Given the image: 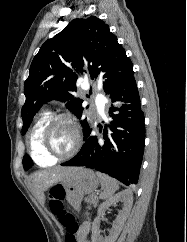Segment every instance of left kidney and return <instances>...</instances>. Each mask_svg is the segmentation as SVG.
Masks as SVG:
<instances>
[{
    "label": "left kidney",
    "instance_id": "5707ae66",
    "mask_svg": "<svg viewBox=\"0 0 187 242\" xmlns=\"http://www.w3.org/2000/svg\"><path fill=\"white\" fill-rule=\"evenodd\" d=\"M121 201L123 203V209L119 212V215L115 219L112 230L110 231V235L108 237L103 238L100 235V221L101 217L105 214V211L113 204ZM133 204V193L129 190H124L113 197L106 200L102 203L98 208V215L95 218L92 225V242H115L117 237L119 236L124 222L128 217L131 207Z\"/></svg>",
    "mask_w": 187,
    "mask_h": 242
}]
</instances>
